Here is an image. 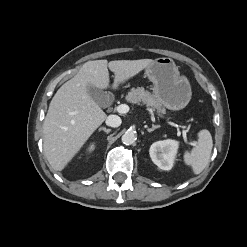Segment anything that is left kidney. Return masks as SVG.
<instances>
[{
  "label": "left kidney",
  "mask_w": 247,
  "mask_h": 247,
  "mask_svg": "<svg viewBox=\"0 0 247 247\" xmlns=\"http://www.w3.org/2000/svg\"><path fill=\"white\" fill-rule=\"evenodd\" d=\"M179 143L167 139L153 143L149 149L151 160L162 170H171L178 151Z\"/></svg>",
  "instance_id": "1"
}]
</instances>
